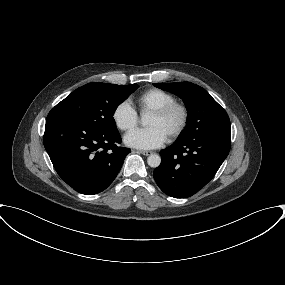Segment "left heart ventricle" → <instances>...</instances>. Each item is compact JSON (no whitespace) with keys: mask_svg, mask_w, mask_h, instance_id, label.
Returning <instances> with one entry per match:
<instances>
[{"mask_svg":"<svg viewBox=\"0 0 285 285\" xmlns=\"http://www.w3.org/2000/svg\"><path fill=\"white\" fill-rule=\"evenodd\" d=\"M178 122L179 114L177 112H173L167 117H158L150 114L147 118L146 126H156L160 128L167 136L178 125Z\"/></svg>","mask_w":285,"mask_h":285,"instance_id":"obj_1","label":"left heart ventricle"}]
</instances>
